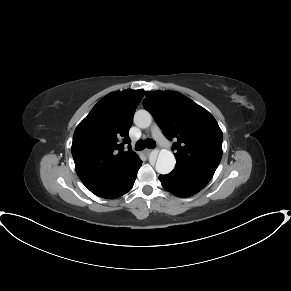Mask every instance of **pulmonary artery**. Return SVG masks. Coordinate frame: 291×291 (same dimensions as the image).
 I'll list each match as a JSON object with an SVG mask.
<instances>
[{"label": "pulmonary artery", "mask_w": 291, "mask_h": 291, "mask_svg": "<svg viewBox=\"0 0 291 291\" xmlns=\"http://www.w3.org/2000/svg\"><path fill=\"white\" fill-rule=\"evenodd\" d=\"M152 135L155 139H157L158 142H160L162 145H164L167 148L174 147L173 141H170L169 139L165 138L162 134L159 126L157 124H154L151 129Z\"/></svg>", "instance_id": "pulmonary-artery-1"}]
</instances>
